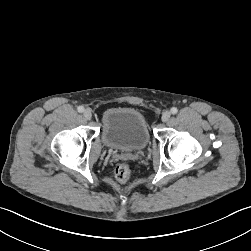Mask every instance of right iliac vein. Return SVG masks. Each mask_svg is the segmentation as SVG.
<instances>
[{"label": "right iliac vein", "instance_id": "1", "mask_svg": "<svg viewBox=\"0 0 251 251\" xmlns=\"http://www.w3.org/2000/svg\"><path fill=\"white\" fill-rule=\"evenodd\" d=\"M83 116L85 119L90 120L92 118V111L90 109H85L83 111Z\"/></svg>", "mask_w": 251, "mask_h": 251}]
</instances>
